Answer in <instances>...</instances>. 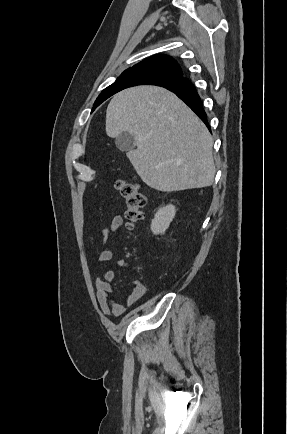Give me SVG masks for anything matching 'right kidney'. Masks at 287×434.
Listing matches in <instances>:
<instances>
[{"mask_svg": "<svg viewBox=\"0 0 287 434\" xmlns=\"http://www.w3.org/2000/svg\"><path fill=\"white\" fill-rule=\"evenodd\" d=\"M176 214L175 206L169 204L160 208L151 223V230L154 234H164Z\"/></svg>", "mask_w": 287, "mask_h": 434, "instance_id": "1", "label": "right kidney"}]
</instances>
